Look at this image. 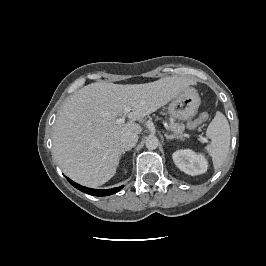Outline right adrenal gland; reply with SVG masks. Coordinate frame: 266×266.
<instances>
[{"instance_id":"1","label":"right adrenal gland","mask_w":266,"mask_h":266,"mask_svg":"<svg viewBox=\"0 0 266 266\" xmlns=\"http://www.w3.org/2000/svg\"><path fill=\"white\" fill-rule=\"evenodd\" d=\"M126 151H130V149H123V150H122V156L125 155V152H126Z\"/></svg>"}]
</instances>
